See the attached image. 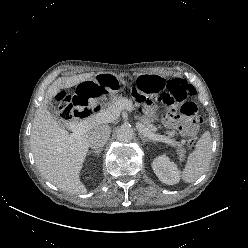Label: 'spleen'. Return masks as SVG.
<instances>
[{
	"instance_id": "1",
	"label": "spleen",
	"mask_w": 248,
	"mask_h": 248,
	"mask_svg": "<svg viewBox=\"0 0 248 248\" xmlns=\"http://www.w3.org/2000/svg\"><path fill=\"white\" fill-rule=\"evenodd\" d=\"M195 147V150L188 156L187 164L182 172V179L186 183L196 181L210 165L212 139L209 131L202 134Z\"/></svg>"
}]
</instances>
